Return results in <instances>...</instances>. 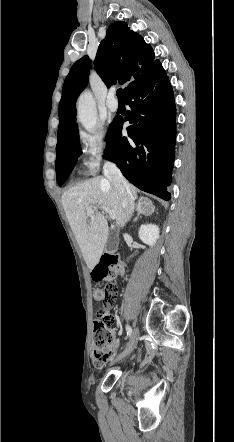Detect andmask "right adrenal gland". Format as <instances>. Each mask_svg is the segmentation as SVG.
Masks as SVG:
<instances>
[{
	"instance_id": "2a0ac1e0",
	"label": "right adrenal gland",
	"mask_w": 234,
	"mask_h": 442,
	"mask_svg": "<svg viewBox=\"0 0 234 442\" xmlns=\"http://www.w3.org/2000/svg\"><path fill=\"white\" fill-rule=\"evenodd\" d=\"M147 202L150 203V205L152 206L151 202L147 198H144V197L139 198V201L137 204V216L133 220L134 223L137 222V220L141 217V214H144L142 211V204L147 203ZM152 208L155 209V207H153V206H152Z\"/></svg>"
}]
</instances>
